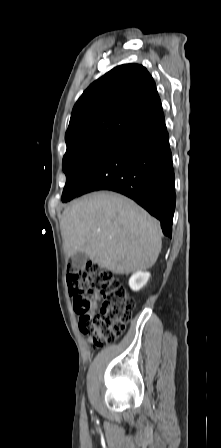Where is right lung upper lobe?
Returning a JSON list of instances; mask_svg holds the SVG:
<instances>
[{
  "label": "right lung upper lobe",
  "instance_id": "obj_1",
  "mask_svg": "<svg viewBox=\"0 0 221 448\" xmlns=\"http://www.w3.org/2000/svg\"><path fill=\"white\" fill-rule=\"evenodd\" d=\"M162 110L155 82L138 64L117 66L93 82L76 102L65 134L67 151L102 140H118Z\"/></svg>",
  "mask_w": 221,
  "mask_h": 448
}]
</instances>
